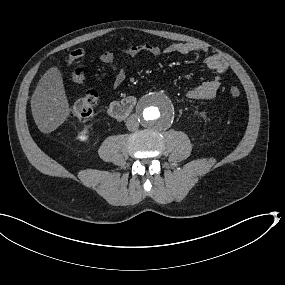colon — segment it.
Segmentation results:
<instances>
[{
    "instance_id": "1",
    "label": "colon",
    "mask_w": 285,
    "mask_h": 285,
    "mask_svg": "<svg viewBox=\"0 0 285 285\" xmlns=\"http://www.w3.org/2000/svg\"><path fill=\"white\" fill-rule=\"evenodd\" d=\"M85 55L84 48H76L69 54L68 62L74 63ZM70 79L77 83L83 84L86 82V73L82 67H75L70 73ZM240 89L236 86H232L229 89V94L233 98L240 96ZM98 94L95 90H89L86 94L77 99L70 108V114L72 117L79 120L89 119L94 112V107L97 104Z\"/></svg>"
}]
</instances>
